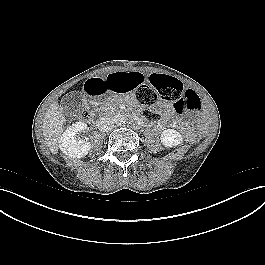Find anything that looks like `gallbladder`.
I'll list each match as a JSON object with an SVG mask.
<instances>
[{
	"label": "gallbladder",
	"mask_w": 265,
	"mask_h": 265,
	"mask_svg": "<svg viewBox=\"0 0 265 265\" xmlns=\"http://www.w3.org/2000/svg\"><path fill=\"white\" fill-rule=\"evenodd\" d=\"M61 104L67 116L77 114L83 108L81 96L77 92H70L66 94L62 98Z\"/></svg>",
	"instance_id": "gallbladder-1"
}]
</instances>
